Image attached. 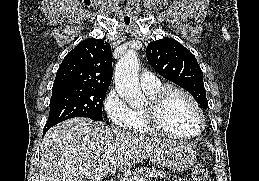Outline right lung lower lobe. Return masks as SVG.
Masks as SVG:
<instances>
[{
	"label": "right lung lower lobe",
	"mask_w": 259,
	"mask_h": 181,
	"mask_svg": "<svg viewBox=\"0 0 259 181\" xmlns=\"http://www.w3.org/2000/svg\"><path fill=\"white\" fill-rule=\"evenodd\" d=\"M48 128H44L43 135L47 132Z\"/></svg>",
	"instance_id": "right-lung-lower-lobe-1"
}]
</instances>
